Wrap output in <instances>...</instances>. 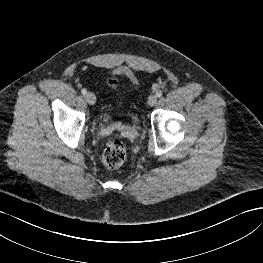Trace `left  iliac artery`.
<instances>
[{
  "label": "left iliac artery",
  "mask_w": 263,
  "mask_h": 263,
  "mask_svg": "<svg viewBox=\"0 0 263 263\" xmlns=\"http://www.w3.org/2000/svg\"><path fill=\"white\" fill-rule=\"evenodd\" d=\"M156 96L157 97H161L162 96V92L161 91L156 92Z\"/></svg>",
  "instance_id": "left-iliac-artery-1"
}]
</instances>
